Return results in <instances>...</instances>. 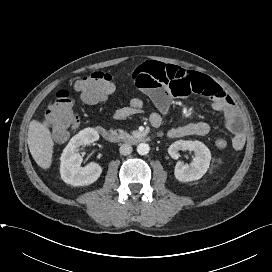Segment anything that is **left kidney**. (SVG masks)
Returning <instances> with one entry per match:
<instances>
[{
  "mask_svg": "<svg viewBox=\"0 0 272 272\" xmlns=\"http://www.w3.org/2000/svg\"><path fill=\"white\" fill-rule=\"evenodd\" d=\"M180 150L193 151L195 157L190 166L181 162L176 164L175 178L180 182L200 179L207 172L210 165L211 152L208 147L197 140H179L170 145L168 153L173 159H178Z\"/></svg>",
  "mask_w": 272,
  "mask_h": 272,
  "instance_id": "left-kidney-1",
  "label": "left kidney"
}]
</instances>
